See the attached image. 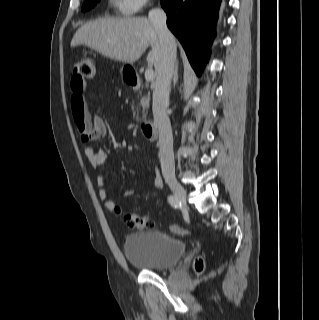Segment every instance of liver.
<instances>
[{
  "instance_id": "obj_1",
  "label": "liver",
  "mask_w": 319,
  "mask_h": 320,
  "mask_svg": "<svg viewBox=\"0 0 319 320\" xmlns=\"http://www.w3.org/2000/svg\"><path fill=\"white\" fill-rule=\"evenodd\" d=\"M78 45L87 46L110 59L131 64L151 46L147 62L154 65L156 73L162 57L157 31L145 17L90 21L73 36L71 47Z\"/></svg>"
}]
</instances>
